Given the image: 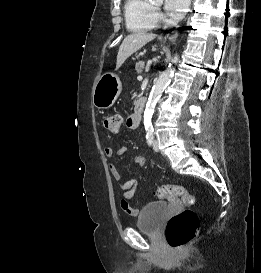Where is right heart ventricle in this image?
I'll use <instances>...</instances> for the list:
<instances>
[{
	"instance_id": "e07e8e85",
	"label": "right heart ventricle",
	"mask_w": 261,
	"mask_h": 273,
	"mask_svg": "<svg viewBox=\"0 0 261 273\" xmlns=\"http://www.w3.org/2000/svg\"><path fill=\"white\" fill-rule=\"evenodd\" d=\"M124 15L132 32H148L157 26L155 10L149 0H125Z\"/></svg>"
}]
</instances>
